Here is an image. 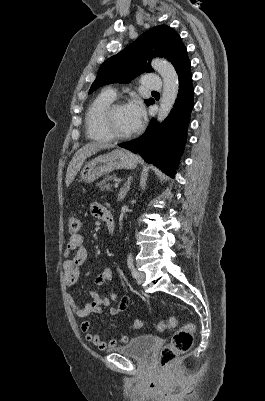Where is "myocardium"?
<instances>
[{"instance_id":"1","label":"myocardium","mask_w":265,"mask_h":401,"mask_svg":"<svg viewBox=\"0 0 265 401\" xmlns=\"http://www.w3.org/2000/svg\"><path fill=\"white\" fill-rule=\"evenodd\" d=\"M125 106L124 102L122 101H115L112 104H110L102 113L101 118H100V126L102 130L105 132L109 140H127L131 138L135 130H133L131 133L127 135H119L114 132L112 125H111V119L113 114L115 113L116 109L118 107Z\"/></svg>"}]
</instances>
